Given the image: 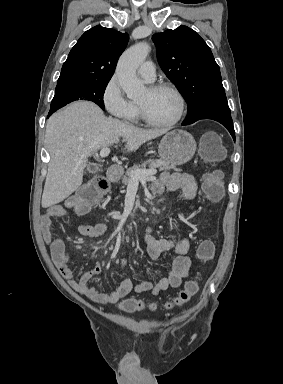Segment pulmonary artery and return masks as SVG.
Returning a JSON list of instances; mask_svg holds the SVG:
<instances>
[{
    "label": "pulmonary artery",
    "instance_id": "e3ab8cb5",
    "mask_svg": "<svg viewBox=\"0 0 283 384\" xmlns=\"http://www.w3.org/2000/svg\"><path fill=\"white\" fill-rule=\"evenodd\" d=\"M138 75L148 82H152L156 77L155 66L152 62L145 61L138 67Z\"/></svg>",
    "mask_w": 283,
    "mask_h": 384
}]
</instances>
